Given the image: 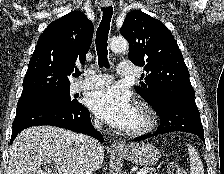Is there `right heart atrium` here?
<instances>
[{
  "label": "right heart atrium",
  "mask_w": 224,
  "mask_h": 174,
  "mask_svg": "<svg viewBox=\"0 0 224 174\" xmlns=\"http://www.w3.org/2000/svg\"><path fill=\"white\" fill-rule=\"evenodd\" d=\"M95 123L98 125L99 124V122L98 121H95Z\"/></svg>",
  "instance_id": "d8ad5b80"
}]
</instances>
